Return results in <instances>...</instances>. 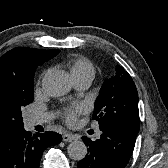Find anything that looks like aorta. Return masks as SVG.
Returning <instances> with one entry per match:
<instances>
[{"label":"aorta","instance_id":"1","mask_svg":"<svg viewBox=\"0 0 168 168\" xmlns=\"http://www.w3.org/2000/svg\"><path fill=\"white\" fill-rule=\"evenodd\" d=\"M44 91L52 97H60L67 94L71 89L69 75L60 70L47 73L42 80ZM68 155L71 159L80 161L87 154V147L83 141H73L68 145Z\"/></svg>","mask_w":168,"mask_h":168}]
</instances>
